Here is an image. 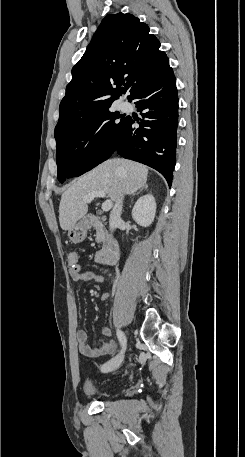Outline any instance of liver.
I'll return each instance as SVG.
<instances>
[{"mask_svg":"<svg viewBox=\"0 0 245 457\" xmlns=\"http://www.w3.org/2000/svg\"><path fill=\"white\" fill-rule=\"evenodd\" d=\"M147 174L145 164L126 158H109L98 164L64 190L59 204L61 229L69 231L79 218L85 216L88 204L83 198L93 190H104L111 200L122 202L124 194H134L146 184Z\"/></svg>","mask_w":245,"mask_h":457,"instance_id":"1","label":"liver"}]
</instances>
